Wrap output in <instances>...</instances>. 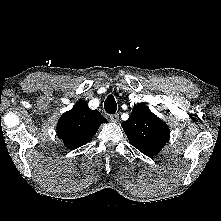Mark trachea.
I'll list each match as a JSON object with an SVG mask.
<instances>
[{
    "mask_svg": "<svg viewBox=\"0 0 221 221\" xmlns=\"http://www.w3.org/2000/svg\"><path fill=\"white\" fill-rule=\"evenodd\" d=\"M104 109L109 114H115L117 110V104L112 95H109L104 102Z\"/></svg>",
    "mask_w": 221,
    "mask_h": 221,
    "instance_id": "obj_1",
    "label": "trachea"
}]
</instances>
